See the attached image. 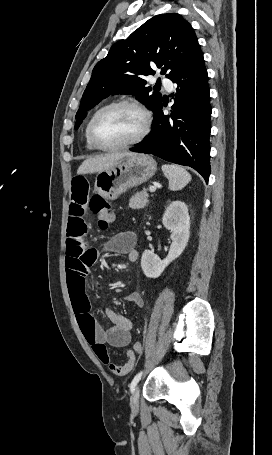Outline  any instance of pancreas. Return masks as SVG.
Wrapping results in <instances>:
<instances>
[{"instance_id":"1","label":"pancreas","mask_w":272,"mask_h":455,"mask_svg":"<svg viewBox=\"0 0 272 455\" xmlns=\"http://www.w3.org/2000/svg\"><path fill=\"white\" fill-rule=\"evenodd\" d=\"M149 202V194L147 193V189L135 194L131 197L129 201V207L132 209H140L144 208Z\"/></svg>"}]
</instances>
